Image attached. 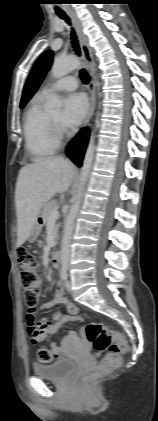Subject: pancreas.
<instances>
[{
    "instance_id": "obj_1",
    "label": "pancreas",
    "mask_w": 158,
    "mask_h": 421,
    "mask_svg": "<svg viewBox=\"0 0 158 421\" xmlns=\"http://www.w3.org/2000/svg\"><path fill=\"white\" fill-rule=\"evenodd\" d=\"M56 207H57V203L54 200H50L44 205L43 210H42V218H43L44 224L48 222V220L50 219L51 211L56 209ZM57 231H58V228H56V231H55L56 238L58 237Z\"/></svg>"
}]
</instances>
